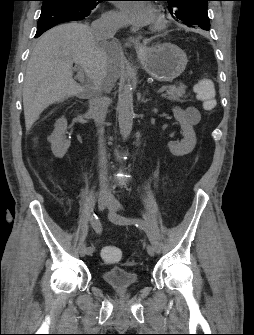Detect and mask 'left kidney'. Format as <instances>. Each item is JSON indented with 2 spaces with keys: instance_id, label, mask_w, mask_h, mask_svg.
Segmentation results:
<instances>
[{
  "instance_id": "5707ae66",
  "label": "left kidney",
  "mask_w": 254,
  "mask_h": 335,
  "mask_svg": "<svg viewBox=\"0 0 254 335\" xmlns=\"http://www.w3.org/2000/svg\"><path fill=\"white\" fill-rule=\"evenodd\" d=\"M173 114L181 125L184 138L180 142H169L168 148L175 156H184L193 151L196 145V134L193 126L187 121L185 112L179 108H173Z\"/></svg>"
}]
</instances>
